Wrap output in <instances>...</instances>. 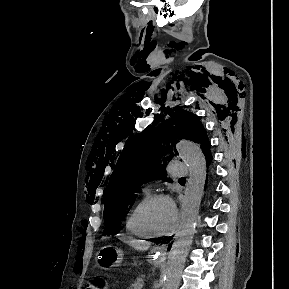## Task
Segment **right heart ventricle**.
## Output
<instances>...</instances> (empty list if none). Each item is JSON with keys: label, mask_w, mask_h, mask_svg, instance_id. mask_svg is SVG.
I'll use <instances>...</instances> for the list:
<instances>
[{"label": "right heart ventricle", "mask_w": 289, "mask_h": 289, "mask_svg": "<svg viewBox=\"0 0 289 289\" xmlns=\"http://www.w3.org/2000/svg\"><path fill=\"white\" fill-rule=\"evenodd\" d=\"M149 197V193L144 192L142 197L137 201L133 208L129 211L125 219L126 231L138 238H150L151 236L143 229L139 221V212Z\"/></svg>", "instance_id": "e07e8e85"}]
</instances>
